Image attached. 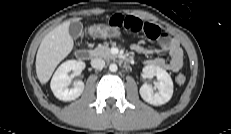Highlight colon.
Masks as SVG:
<instances>
[{
  "label": "colon",
  "instance_id": "5ec220e1",
  "mask_svg": "<svg viewBox=\"0 0 231 134\" xmlns=\"http://www.w3.org/2000/svg\"><path fill=\"white\" fill-rule=\"evenodd\" d=\"M88 33L91 36L98 38H123L124 33L122 31L116 30L109 25L105 24H96L89 28ZM186 80V77L183 74L176 76V82L178 84H183Z\"/></svg>",
  "mask_w": 231,
  "mask_h": 134
}]
</instances>
